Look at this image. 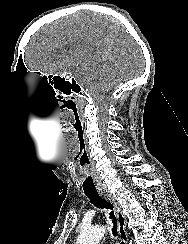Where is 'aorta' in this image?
Here are the masks:
<instances>
[{
  "label": "aorta",
  "instance_id": "obj_1",
  "mask_svg": "<svg viewBox=\"0 0 188 244\" xmlns=\"http://www.w3.org/2000/svg\"><path fill=\"white\" fill-rule=\"evenodd\" d=\"M105 231V227L100 225L84 227L79 233L76 244H99Z\"/></svg>",
  "mask_w": 188,
  "mask_h": 244
}]
</instances>
